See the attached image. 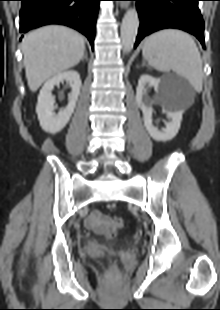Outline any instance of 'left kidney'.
Returning a JSON list of instances; mask_svg holds the SVG:
<instances>
[{"label": "left kidney", "instance_id": "5707ae66", "mask_svg": "<svg viewBox=\"0 0 220 310\" xmlns=\"http://www.w3.org/2000/svg\"><path fill=\"white\" fill-rule=\"evenodd\" d=\"M154 87L156 92L155 100L166 107V113L171 121L166 123V127L158 130L152 123V100L147 96L146 87ZM171 85L161 79L153 78L149 75H142L138 81L136 89V101L142 110L144 126L149 135L156 141L172 140L178 133L182 121L183 109H174L166 104V98L169 96Z\"/></svg>", "mask_w": 220, "mask_h": 310}]
</instances>
